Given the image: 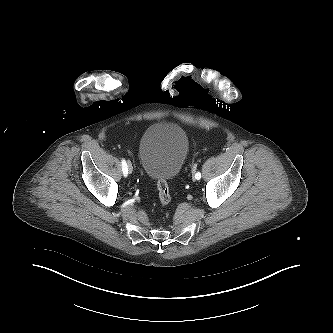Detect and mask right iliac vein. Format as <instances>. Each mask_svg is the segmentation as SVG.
I'll list each match as a JSON object with an SVG mask.
<instances>
[{"label":"right iliac vein","instance_id":"right-iliac-vein-1","mask_svg":"<svg viewBox=\"0 0 333 333\" xmlns=\"http://www.w3.org/2000/svg\"><path fill=\"white\" fill-rule=\"evenodd\" d=\"M132 171H133V167H132L131 162L129 161V162H128V172H129V173H132Z\"/></svg>","mask_w":333,"mask_h":333}]
</instances>
